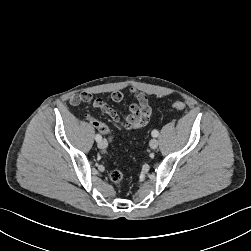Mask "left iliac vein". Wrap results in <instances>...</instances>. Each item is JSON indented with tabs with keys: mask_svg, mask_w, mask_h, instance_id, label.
Returning a JSON list of instances; mask_svg holds the SVG:
<instances>
[{
	"mask_svg": "<svg viewBox=\"0 0 251 251\" xmlns=\"http://www.w3.org/2000/svg\"><path fill=\"white\" fill-rule=\"evenodd\" d=\"M158 141L156 140V139H152L151 141H150V143H149V145H150V147L152 148V149H156L157 147H158Z\"/></svg>",
	"mask_w": 251,
	"mask_h": 251,
	"instance_id": "4c4485c4",
	"label": "left iliac vein"
}]
</instances>
